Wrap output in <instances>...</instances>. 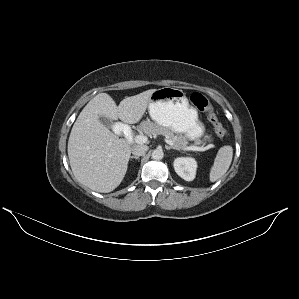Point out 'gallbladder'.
I'll return each instance as SVG.
<instances>
[{
	"label": "gallbladder",
	"mask_w": 299,
	"mask_h": 299,
	"mask_svg": "<svg viewBox=\"0 0 299 299\" xmlns=\"http://www.w3.org/2000/svg\"><path fill=\"white\" fill-rule=\"evenodd\" d=\"M99 121L107 128L113 127V123L111 122V120L105 116H100Z\"/></svg>",
	"instance_id": "obj_1"
}]
</instances>
